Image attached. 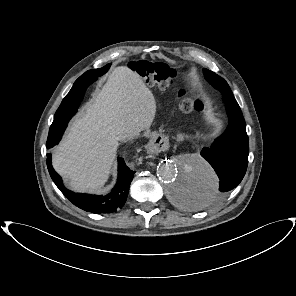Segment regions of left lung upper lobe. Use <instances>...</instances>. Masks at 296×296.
Masks as SVG:
<instances>
[{
    "mask_svg": "<svg viewBox=\"0 0 296 296\" xmlns=\"http://www.w3.org/2000/svg\"><path fill=\"white\" fill-rule=\"evenodd\" d=\"M204 75L206 80L217 90H219L225 99L229 98V97H234L232 94V91L229 87V85L227 84V82L221 78L220 76H218L217 74H215L214 72L208 70V69H204Z\"/></svg>",
    "mask_w": 296,
    "mask_h": 296,
    "instance_id": "left-lung-upper-lobe-1",
    "label": "left lung upper lobe"
}]
</instances>
